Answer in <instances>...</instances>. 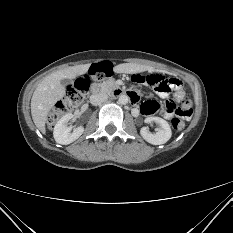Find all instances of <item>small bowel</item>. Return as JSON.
<instances>
[{
  "instance_id": "small-bowel-1",
  "label": "small bowel",
  "mask_w": 233,
  "mask_h": 233,
  "mask_svg": "<svg viewBox=\"0 0 233 233\" xmlns=\"http://www.w3.org/2000/svg\"><path fill=\"white\" fill-rule=\"evenodd\" d=\"M172 80L175 82L174 83V86L172 87V90H174V94H173V98L176 102H181L182 100L186 99V92L183 88V85H182V82L178 79H175V78H172ZM171 90L169 91H158V93L161 95V96H166L168 94V92H170ZM137 96V95H136ZM137 99H138V96H137ZM151 101H146L145 103H143L140 107V109H135V114H138L139 112H141L142 114H145V115H151V114H154V112L150 109L149 107V103ZM164 114H165V117L167 119H171L176 113L175 111L171 110V109H168L166 108V110L164 111Z\"/></svg>"
}]
</instances>
